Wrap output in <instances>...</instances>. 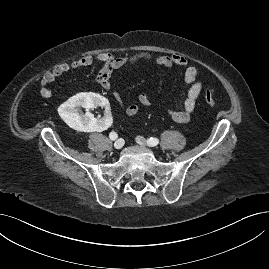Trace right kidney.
<instances>
[{
	"label": "right kidney",
	"mask_w": 269,
	"mask_h": 269,
	"mask_svg": "<svg viewBox=\"0 0 269 269\" xmlns=\"http://www.w3.org/2000/svg\"><path fill=\"white\" fill-rule=\"evenodd\" d=\"M97 106L105 107L107 115L97 120L88 110ZM86 109L85 114L79 113V108ZM63 120L78 131L100 133L113 125L110 116V105L107 99L95 93H80L73 96L59 107Z\"/></svg>",
	"instance_id": "ca27d5eb"
}]
</instances>
